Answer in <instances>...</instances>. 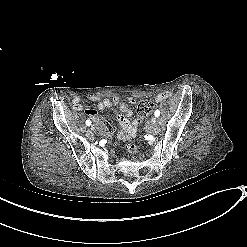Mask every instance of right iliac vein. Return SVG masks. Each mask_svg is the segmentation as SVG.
<instances>
[{"label":"right iliac vein","instance_id":"63e3f726","mask_svg":"<svg viewBox=\"0 0 247 247\" xmlns=\"http://www.w3.org/2000/svg\"><path fill=\"white\" fill-rule=\"evenodd\" d=\"M91 130H95V125H91Z\"/></svg>","mask_w":247,"mask_h":247}]
</instances>
